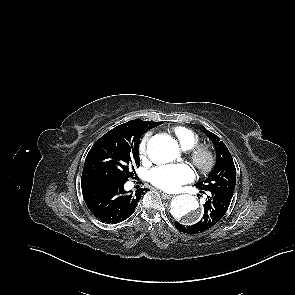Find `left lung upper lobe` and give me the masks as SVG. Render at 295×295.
<instances>
[{"label": "left lung upper lobe", "mask_w": 295, "mask_h": 295, "mask_svg": "<svg viewBox=\"0 0 295 295\" xmlns=\"http://www.w3.org/2000/svg\"><path fill=\"white\" fill-rule=\"evenodd\" d=\"M203 129L214 144L217 159L208 178L197 183L196 187L207 192H221L233 196L236 184V169L232 156L218 136L205 127Z\"/></svg>", "instance_id": "left-lung-upper-lobe-1"}]
</instances>
